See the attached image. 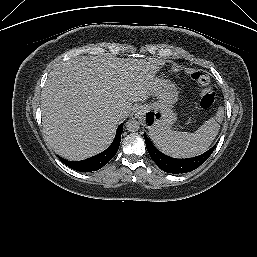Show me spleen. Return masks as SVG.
Returning a JSON list of instances; mask_svg holds the SVG:
<instances>
[{
	"label": "spleen",
	"instance_id": "obj_1",
	"mask_svg": "<svg viewBox=\"0 0 257 257\" xmlns=\"http://www.w3.org/2000/svg\"><path fill=\"white\" fill-rule=\"evenodd\" d=\"M220 107L214 118H210L194 133L179 132L169 128L150 132V138L163 153L176 158H188L205 152L216 138L223 120Z\"/></svg>",
	"mask_w": 257,
	"mask_h": 257
}]
</instances>
